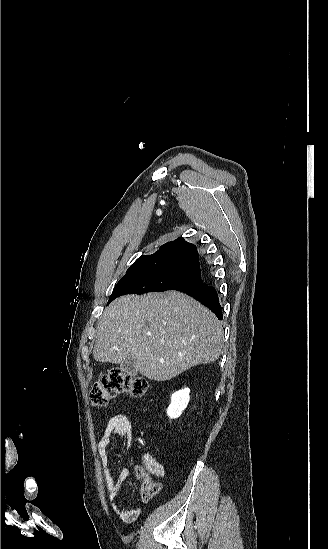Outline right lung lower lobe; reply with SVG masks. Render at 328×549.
<instances>
[{
	"label": "right lung lower lobe",
	"instance_id": "right-lung-lower-lobe-1",
	"mask_svg": "<svg viewBox=\"0 0 328 549\" xmlns=\"http://www.w3.org/2000/svg\"><path fill=\"white\" fill-rule=\"evenodd\" d=\"M183 292L194 297L203 305L208 307L212 312L215 313L218 319L223 318L221 306L218 302V295L214 287L206 284L200 288H194L192 290H186Z\"/></svg>",
	"mask_w": 328,
	"mask_h": 549
}]
</instances>
